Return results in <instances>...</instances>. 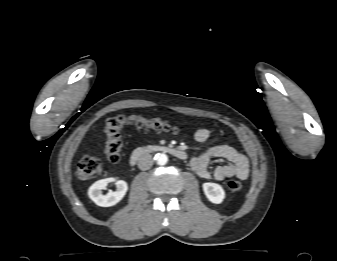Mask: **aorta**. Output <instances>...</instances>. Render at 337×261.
<instances>
[{
	"label": "aorta",
	"instance_id": "obj_1",
	"mask_svg": "<svg viewBox=\"0 0 337 261\" xmlns=\"http://www.w3.org/2000/svg\"><path fill=\"white\" fill-rule=\"evenodd\" d=\"M155 160H156V162H157L158 165L162 166V165H165L168 162V157L164 153H158L155 156Z\"/></svg>",
	"mask_w": 337,
	"mask_h": 261
}]
</instances>
